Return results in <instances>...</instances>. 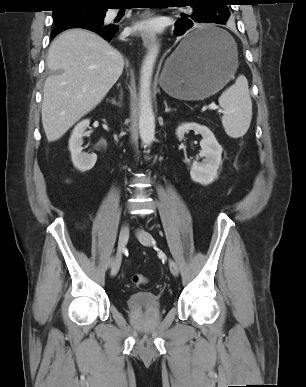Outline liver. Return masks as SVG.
<instances>
[{
	"label": "liver",
	"mask_w": 306,
	"mask_h": 387,
	"mask_svg": "<svg viewBox=\"0 0 306 387\" xmlns=\"http://www.w3.org/2000/svg\"><path fill=\"white\" fill-rule=\"evenodd\" d=\"M47 66L54 74L45 81L41 113L47 140L53 142L104 99L124 60L98 34L70 29L51 43Z\"/></svg>",
	"instance_id": "liver-1"
}]
</instances>
